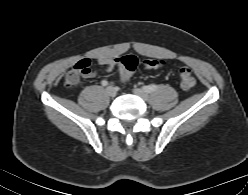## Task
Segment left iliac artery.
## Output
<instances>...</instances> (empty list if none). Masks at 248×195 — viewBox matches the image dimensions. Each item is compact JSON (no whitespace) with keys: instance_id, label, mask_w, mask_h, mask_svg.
<instances>
[{"instance_id":"left-iliac-artery-1","label":"left iliac artery","mask_w":248,"mask_h":195,"mask_svg":"<svg viewBox=\"0 0 248 195\" xmlns=\"http://www.w3.org/2000/svg\"><path fill=\"white\" fill-rule=\"evenodd\" d=\"M159 88L158 85H148V86H143V90L147 93H151L156 91Z\"/></svg>"}]
</instances>
